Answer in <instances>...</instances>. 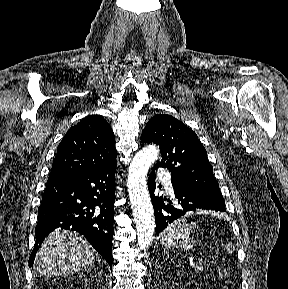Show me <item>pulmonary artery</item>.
Segmentation results:
<instances>
[{"label": "pulmonary artery", "mask_w": 288, "mask_h": 289, "mask_svg": "<svg viewBox=\"0 0 288 289\" xmlns=\"http://www.w3.org/2000/svg\"><path fill=\"white\" fill-rule=\"evenodd\" d=\"M157 175L163 181L165 188L169 192H173V186H172L170 173L166 170H159Z\"/></svg>", "instance_id": "e3ab8cb5"}]
</instances>
